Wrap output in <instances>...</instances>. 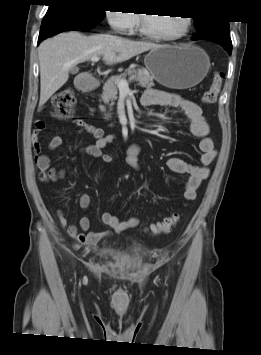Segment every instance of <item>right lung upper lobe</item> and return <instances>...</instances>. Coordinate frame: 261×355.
<instances>
[{"mask_svg": "<svg viewBox=\"0 0 261 355\" xmlns=\"http://www.w3.org/2000/svg\"><path fill=\"white\" fill-rule=\"evenodd\" d=\"M48 1H50L51 4H55V3H58V2L73 1V0H48Z\"/></svg>", "mask_w": 261, "mask_h": 355, "instance_id": "cb5924a9", "label": "right lung upper lobe"}]
</instances>
